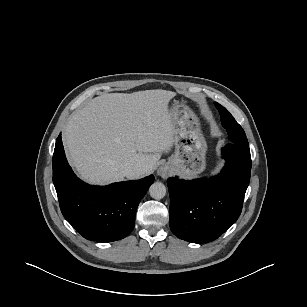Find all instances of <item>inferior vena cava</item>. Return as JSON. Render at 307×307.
<instances>
[{"label":"inferior vena cava","mask_w":307,"mask_h":307,"mask_svg":"<svg viewBox=\"0 0 307 307\" xmlns=\"http://www.w3.org/2000/svg\"><path fill=\"white\" fill-rule=\"evenodd\" d=\"M143 171L144 169L140 167L128 168L124 170V174L127 178H133L135 176L142 174Z\"/></svg>","instance_id":"inferior-vena-cava-1"}]
</instances>
